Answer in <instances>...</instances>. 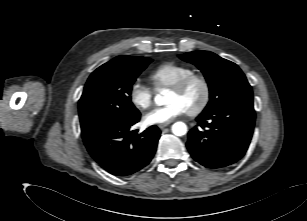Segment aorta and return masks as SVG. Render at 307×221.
<instances>
[{
  "mask_svg": "<svg viewBox=\"0 0 307 221\" xmlns=\"http://www.w3.org/2000/svg\"><path fill=\"white\" fill-rule=\"evenodd\" d=\"M163 94L164 92H161L160 94H157L154 98V101L158 106L165 104ZM172 132L176 136H183L187 133V126L183 122H176L172 125Z\"/></svg>",
  "mask_w": 307,
  "mask_h": 221,
  "instance_id": "obj_1",
  "label": "aorta"
}]
</instances>
